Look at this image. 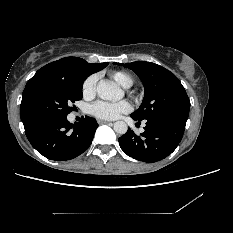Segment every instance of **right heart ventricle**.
<instances>
[{
  "instance_id": "obj_1",
  "label": "right heart ventricle",
  "mask_w": 233,
  "mask_h": 233,
  "mask_svg": "<svg viewBox=\"0 0 233 233\" xmlns=\"http://www.w3.org/2000/svg\"><path fill=\"white\" fill-rule=\"evenodd\" d=\"M109 76L114 79L117 83L122 85L123 87H130L133 83V78L125 71L116 70L111 71Z\"/></svg>"
}]
</instances>
